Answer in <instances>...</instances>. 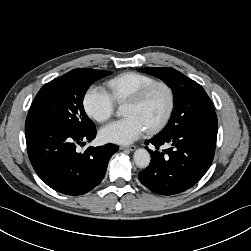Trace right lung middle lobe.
<instances>
[{"mask_svg": "<svg viewBox=\"0 0 251 251\" xmlns=\"http://www.w3.org/2000/svg\"><path fill=\"white\" fill-rule=\"evenodd\" d=\"M110 74L109 71L81 68L46 83L37 93L27 119L41 120L78 133L96 129L84 111V95L92 83Z\"/></svg>", "mask_w": 251, "mask_h": 251, "instance_id": "1", "label": "right lung middle lobe"}]
</instances>
